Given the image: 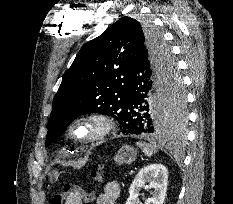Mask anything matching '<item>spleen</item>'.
<instances>
[{
  "label": "spleen",
  "mask_w": 233,
  "mask_h": 204,
  "mask_svg": "<svg viewBox=\"0 0 233 204\" xmlns=\"http://www.w3.org/2000/svg\"><path fill=\"white\" fill-rule=\"evenodd\" d=\"M136 145L148 157H151L154 153H156L158 151L156 145H154V144H149V143H145V142H136Z\"/></svg>",
  "instance_id": "3e777b00"
}]
</instances>
